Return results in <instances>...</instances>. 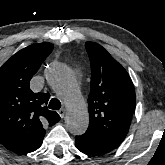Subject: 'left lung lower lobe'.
Masks as SVG:
<instances>
[{"instance_id": "left-lung-lower-lobe-1", "label": "left lung lower lobe", "mask_w": 165, "mask_h": 165, "mask_svg": "<svg viewBox=\"0 0 165 165\" xmlns=\"http://www.w3.org/2000/svg\"><path fill=\"white\" fill-rule=\"evenodd\" d=\"M75 145L78 150L91 156L104 155L119 146V144L106 140L90 130L81 136H76Z\"/></svg>"}]
</instances>
